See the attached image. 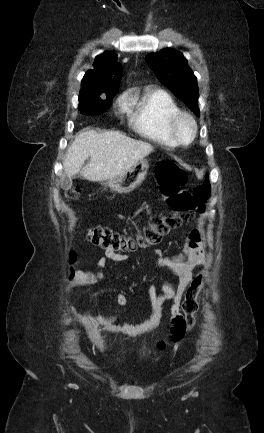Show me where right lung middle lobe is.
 <instances>
[{"instance_id":"obj_1","label":"right lung middle lobe","mask_w":264,"mask_h":433,"mask_svg":"<svg viewBox=\"0 0 264 433\" xmlns=\"http://www.w3.org/2000/svg\"><path fill=\"white\" fill-rule=\"evenodd\" d=\"M113 96L79 99L78 108L85 115L103 113L110 107Z\"/></svg>"}]
</instances>
